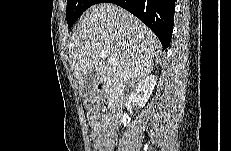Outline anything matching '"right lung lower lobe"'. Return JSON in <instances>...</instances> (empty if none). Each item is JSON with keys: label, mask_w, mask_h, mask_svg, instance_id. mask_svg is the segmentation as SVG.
I'll return each mask as SVG.
<instances>
[{"label": "right lung lower lobe", "mask_w": 231, "mask_h": 151, "mask_svg": "<svg viewBox=\"0 0 231 151\" xmlns=\"http://www.w3.org/2000/svg\"><path fill=\"white\" fill-rule=\"evenodd\" d=\"M121 6L145 23L159 38L163 49L170 45L174 25V0H100Z\"/></svg>", "instance_id": "right-lung-lower-lobe-1"}]
</instances>
